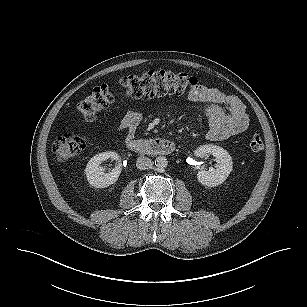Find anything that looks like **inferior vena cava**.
<instances>
[{"instance_id":"inferior-vena-cava-1","label":"inferior vena cava","mask_w":307,"mask_h":307,"mask_svg":"<svg viewBox=\"0 0 307 307\" xmlns=\"http://www.w3.org/2000/svg\"><path fill=\"white\" fill-rule=\"evenodd\" d=\"M136 166L140 170L149 169V168H152V161L146 156H141V157H138L136 161Z\"/></svg>"}]
</instances>
